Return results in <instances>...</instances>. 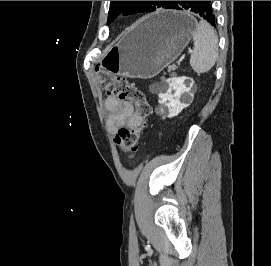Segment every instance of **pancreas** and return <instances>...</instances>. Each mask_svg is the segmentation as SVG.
Masks as SVG:
<instances>
[{
    "mask_svg": "<svg viewBox=\"0 0 271 266\" xmlns=\"http://www.w3.org/2000/svg\"><path fill=\"white\" fill-rule=\"evenodd\" d=\"M176 69H177V66H176V65H171V66L168 67V70H169V71H174V70H176Z\"/></svg>",
    "mask_w": 271,
    "mask_h": 266,
    "instance_id": "pancreas-1",
    "label": "pancreas"
}]
</instances>
